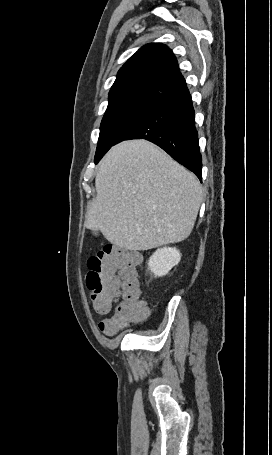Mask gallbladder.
<instances>
[{"label": "gallbladder", "instance_id": "bac80fb5", "mask_svg": "<svg viewBox=\"0 0 272 455\" xmlns=\"http://www.w3.org/2000/svg\"><path fill=\"white\" fill-rule=\"evenodd\" d=\"M93 235H98V230H92Z\"/></svg>", "mask_w": 272, "mask_h": 455}]
</instances>
